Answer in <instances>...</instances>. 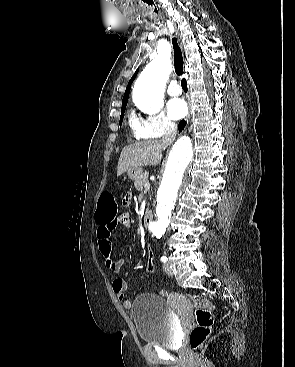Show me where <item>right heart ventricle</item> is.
Instances as JSON below:
<instances>
[{
  "instance_id": "obj_1",
  "label": "right heart ventricle",
  "mask_w": 295,
  "mask_h": 367,
  "mask_svg": "<svg viewBox=\"0 0 295 367\" xmlns=\"http://www.w3.org/2000/svg\"><path fill=\"white\" fill-rule=\"evenodd\" d=\"M135 117L133 115L130 116V123L132 124V122L134 121Z\"/></svg>"
}]
</instances>
